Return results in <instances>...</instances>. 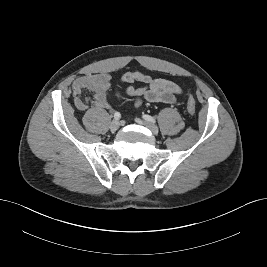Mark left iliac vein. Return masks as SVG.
<instances>
[{"label": "left iliac vein", "mask_w": 267, "mask_h": 267, "mask_svg": "<svg viewBox=\"0 0 267 267\" xmlns=\"http://www.w3.org/2000/svg\"><path fill=\"white\" fill-rule=\"evenodd\" d=\"M135 121L138 124L143 125V126H146L147 128H149L153 134H155V135L158 134L159 129H158V127L155 124L150 123V122H145V121H143V120H141L139 118H136Z\"/></svg>", "instance_id": "1"}]
</instances>
